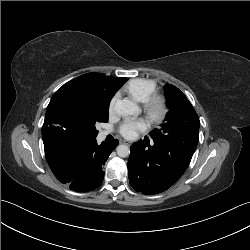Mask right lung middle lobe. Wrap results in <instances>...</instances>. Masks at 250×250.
Masks as SVG:
<instances>
[{"label": "right lung middle lobe", "instance_id": "1", "mask_svg": "<svg viewBox=\"0 0 250 250\" xmlns=\"http://www.w3.org/2000/svg\"><path fill=\"white\" fill-rule=\"evenodd\" d=\"M113 95L92 77L81 75L67 82L53 95L46 110L50 134L70 142L95 138L96 123L108 122Z\"/></svg>", "mask_w": 250, "mask_h": 250}]
</instances>
